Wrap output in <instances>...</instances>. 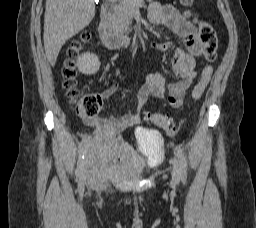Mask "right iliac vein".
<instances>
[{
	"mask_svg": "<svg viewBox=\"0 0 256 228\" xmlns=\"http://www.w3.org/2000/svg\"><path fill=\"white\" fill-rule=\"evenodd\" d=\"M84 157H85V160H84V170H83V173H82V178L83 180H86L88 179V170H87V167H90L91 166V160H92V157L89 156V151H86V153L84 154Z\"/></svg>",
	"mask_w": 256,
	"mask_h": 228,
	"instance_id": "1",
	"label": "right iliac vein"
}]
</instances>
